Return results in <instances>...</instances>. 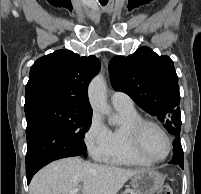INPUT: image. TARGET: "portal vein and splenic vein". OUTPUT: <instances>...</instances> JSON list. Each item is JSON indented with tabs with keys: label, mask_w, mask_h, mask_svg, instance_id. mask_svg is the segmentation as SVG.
Masks as SVG:
<instances>
[{
	"label": "portal vein and splenic vein",
	"mask_w": 201,
	"mask_h": 194,
	"mask_svg": "<svg viewBox=\"0 0 201 194\" xmlns=\"http://www.w3.org/2000/svg\"><path fill=\"white\" fill-rule=\"evenodd\" d=\"M78 190L79 188L71 189L68 194H77Z\"/></svg>",
	"instance_id": "18ae733b"
}]
</instances>
